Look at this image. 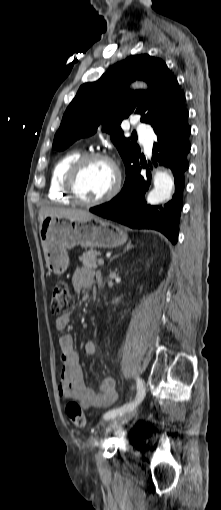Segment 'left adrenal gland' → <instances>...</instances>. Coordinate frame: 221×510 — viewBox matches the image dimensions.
<instances>
[{
	"mask_svg": "<svg viewBox=\"0 0 221 510\" xmlns=\"http://www.w3.org/2000/svg\"><path fill=\"white\" fill-rule=\"evenodd\" d=\"M134 246L131 244V241H129L124 249V251L121 253V254H118L116 256H114L110 261H112L113 259L119 257L120 255L124 254L126 251H128L129 249H132Z\"/></svg>",
	"mask_w": 221,
	"mask_h": 510,
	"instance_id": "left-adrenal-gland-1",
	"label": "left adrenal gland"
}]
</instances>
